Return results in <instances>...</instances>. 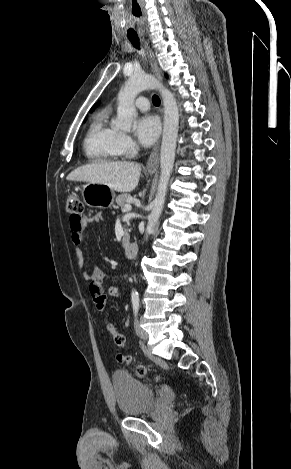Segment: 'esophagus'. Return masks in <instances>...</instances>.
<instances>
[{"label":"esophagus","mask_w":291,"mask_h":469,"mask_svg":"<svg viewBox=\"0 0 291 469\" xmlns=\"http://www.w3.org/2000/svg\"><path fill=\"white\" fill-rule=\"evenodd\" d=\"M146 47L148 49V56H149V59H150V64H151L152 70L155 73V75L157 76V78L160 81H162V76H161V72H160L158 63L156 61V58H155L153 52L149 49L148 43H146ZM158 164H159V144L156 145L154 147L153 151L151 152V154H150V156L147 160L146 167L148 169H153V168H157Z\"/></svg>","instance_id":"obj_1"}]
</instances>
